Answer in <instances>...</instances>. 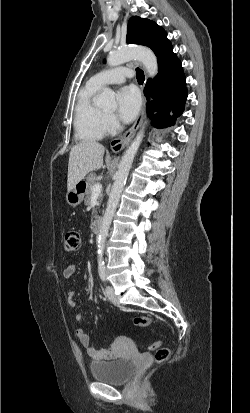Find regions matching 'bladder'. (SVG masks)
<instances>
[{"mask_svg": "<svg viewBox=\"0 0 250 413\" xmlns=\"http://www.w3.org/2000/svg\"><path fill=\"white\" fill-rule=\"evenodd\" d=\"M135 366L128 358H117L111 361H98L90 365L92 377L108 384H124L133 374Z\"/></svg>", "mask_w": 250, "mask_h": 413, "instance_id": "1", "label": "bladder"}]
</instances>
